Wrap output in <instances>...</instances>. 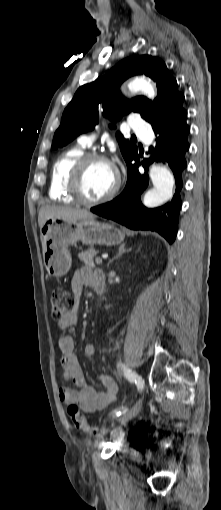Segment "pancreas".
<instances>
[{"mask_svg": "<svg viewBox=\"0 0 221 510\" xmlns=\"http://www.w3.org/2000/svg\"><path fill=\"white\" fill-rule=\"evenodd\" d=\"M98 253L94 248H89L84 252L78 254L79 259L86 265L91 268L95 267L94 256Z\"/></svg>", "mask_w": 221, "mask_h": 510, "instance_id": "obj_1", "label": "pancreas"}]
</instances>
